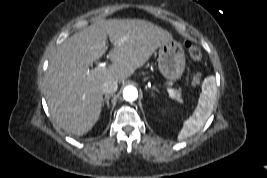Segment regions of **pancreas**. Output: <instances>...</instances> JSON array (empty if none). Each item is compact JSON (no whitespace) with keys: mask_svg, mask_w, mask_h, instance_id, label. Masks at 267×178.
Returning <instances> with one entry per match:
<instances>
[{"mask_svg":"<svg viewBox=\"0 0 267 178\" xmlns=\"http://www.w3.org/2000/svg\"><path fill=\"white\" fill-rule=\"evenodd\" d=\"M171 97L179 102H182L180 90H174V95Z\"/></svg>","mask_w":267,"mask_h":178,"instance_id":"1","label":"pancreas"}]
</instances>
